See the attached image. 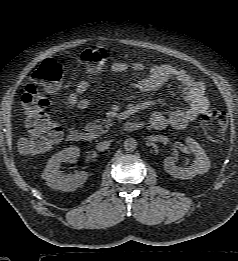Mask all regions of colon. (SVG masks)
I'll use <instances>...</instances> for the list:
<instances>
[{"label": "colon", "mask_w": 238, "mask_h": 261, "mask_svg": "<svg viewBox=\"0 0 238 261\" xmlns=\"http://www.w3.org/2000/svg\"><path fill=\"white\" fill-rule=\"evenodd\" d=\"M81 58L92 72H97L110 61V53L102 47H90L82 52ZM64 74L63 65L55 60H45L31 76V83L26 87L22 104L25 112L29 135L18 142L23 153L35 154L49 150L59 142L61 129L48 113L49 100L43 90L53 91L61 82ZM228 125V115L220 108H210L202 117V127L206 136L214 141H221Z\"/></svg>", "instance_id": "5ec220e1"}]
</instances>
